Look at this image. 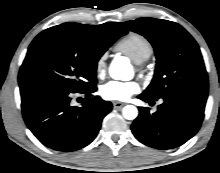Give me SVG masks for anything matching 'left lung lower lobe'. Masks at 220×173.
Wrapping results in <instances>:
<instances>
[{"label":"left lung lower lobe","mask_w":220,"mask_h":173,"mask_svg":"<svg viewBox=\"0 0 220 173\" xmlns=\"http://www.w3.org/2000/svg\"><path fill=\"white\" fill-rule=\"evenodd\" d=\"M145 102H153L146 95H139ZM158 110L151 114L149 108H139V116L131 130L147 146L156 149H173L192 138L200 128L207 97L175 94L164 97Z\"/></svg>","instance_id":"0a47b994"}]
</instances>
